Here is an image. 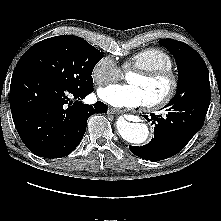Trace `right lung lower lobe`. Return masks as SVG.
Masks as SVG:
<instances>
[{"mask_svg":"<svg viewBox=\"0 0 221 221\" xmlns=\"http://www.w3.org/2000/svg\"><path fill=\"white\" fill-rule=\"evenodd\" d=\"M93 88L72 89L26 69H14L10 85V108L23 143L44 158H61L82 140L88 118L105 113L107 106L81 100Z\"/></svg>","mask_w":221,"mask_h":221,"instance_id":"right-lung-lower-lobe-1","label":"right lung lower lobe"}]
</instances>
